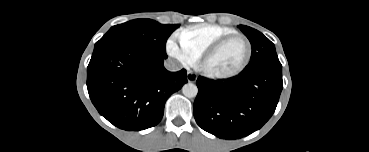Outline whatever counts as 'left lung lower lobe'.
<instances>
[{"instance_id": "0a47b994", "label": "left lung lower lobe", "mask_w": 369, "mask_h": 152, "mask_svg": "<svg viewBox=\"0 0 369 152\" xmlns=\"http://www.w3.org/2000/svg\"><path fill=\"white\" fill-rule=\"evenodd\" d=\"M194 117L203 130L239 139L260 129L273 115L283 88L282 67L242 71L229 79L199 77Z\"/></svg>"}]
</instances>
